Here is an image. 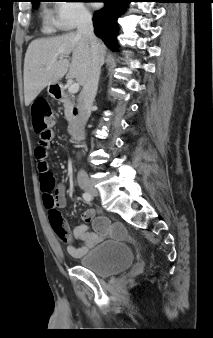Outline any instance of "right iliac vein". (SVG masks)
<instances>
[{
    "label": "right iliac vein",
    "mask_w": 213,
    "mask_h": 338,
    "mask_svg": "<svg viewBox=\"0 0 213 338\" xmlns=\"http://www.w3.org/2000/svg\"><path fill=\"white\" fill-rule=\"evenodd\" d=\"M81 188L84 191H86L90 194H93V195H97V193H98L97 190L94 188V186L92 184H83V185H81Z\"/></svg>",
    "instance_id": "right-iliac-vein-1"
}]
</instances>
